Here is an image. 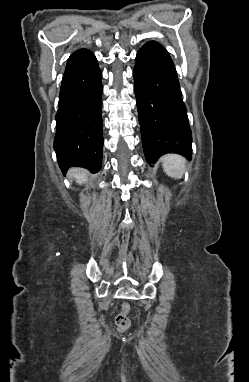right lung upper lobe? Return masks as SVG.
Returning a JSON list of instances; mask_svg holds the SVG:
<instances>
[{
  "label": "right lung upper lobe",
  "instance_id": "right-lung-upper-lobe-1",
  "mask_svg": "<svg viewBox=\"0 0 249 382\" xmlns=\"http://www.w3.org/2000/svg\"><path fill=\"white\" fill-rule=\"evenodd\" d=\"M93 56V53L87 49H80L74 52L68 59L63 77L68 76L75 70L87 63Z\"/></svg>",
  "mask_w": 249,
  "mask_h": 382
}]
</instances>
